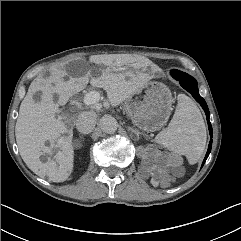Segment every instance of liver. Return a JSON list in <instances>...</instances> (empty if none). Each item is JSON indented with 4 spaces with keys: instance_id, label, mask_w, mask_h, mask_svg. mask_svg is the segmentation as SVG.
I'll return each mask as SVG.
<instances>
[{
    "instance_id": "obj_1",
    "label": "liver",
    "mask_w": 241,
    "mask_h": 241,
    "mask_svg": "<svg viewBox=\"0 0 241 241\" xmlns=\"http://www.w3.org/2000/svg\"><path fill=\"white\" fill-rule=\"evenodd\" d=\"M89 62L105 67L98 77H93L87 67L82 76H69L65 81L64 77L68 74L64 64L54 67L49 77L39 75L30 84L20 105L15 126L20 155L29 169L40 177L47 176L52 182L66 181L74 167L72 128H67L62 120L56 118L60 101L54 102L53 95H59V99L66 102L90 82L94 87L103 88L110 104L116 107L151 79L147 72L151 62L141 56L92 55ZM37 92H41L40 102H35L33 98ZM64 133L68 135L62 136ZM46 142L50 145L46 146ZM55 148L57 151L53 159L43 163L40 157L52 154Z\"/></svg>"
}]
</instances>
